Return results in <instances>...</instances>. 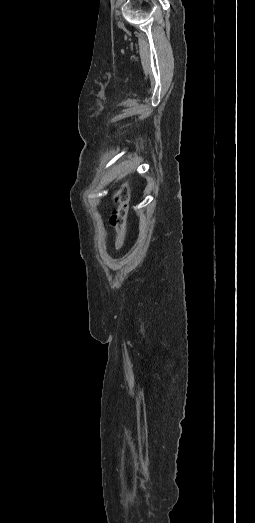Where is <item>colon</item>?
<instances>
[{
  "label": "colon",
  "mask_w": 255,
  "mask_h": 523,
  "mask_svg": "<svg viewBox=\"0 0 255 523\" xmlns=\"http://www.w3.org/2000/svg\"><path fill=\"white\" fill-rule=\"evenodd\" d=\"M129 189L126 185L121 186L114 195L116 209L110 218V223L116 231L115 247L120 249L128 233L127 215L129 211Z\"/></svg>",
  "instance_id": "1"
}]
</instances>
